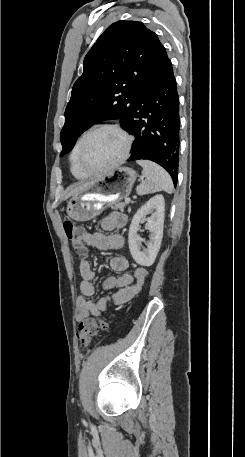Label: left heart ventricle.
Wrapping results in <instances>:
<instances>
[{
    "mask_svg": "<svg viewBox=\"0 0 245 457\" xmlns=\"http://www.w3.org/2000/svg\"><path fill=\"white\" fill-rule=\"evenodd\" d=\"M124 141L111 130L95 133L88 140L83 152L82 162L91 171L102 169L112 164L123 150Z\"/></svg>",
    "mask_w": 245,
    "mask_h": 457,
    "instance_id": "b2bd125f",
    "label": "left heart ventricle"
}]
</instances>
